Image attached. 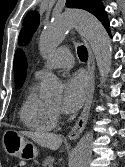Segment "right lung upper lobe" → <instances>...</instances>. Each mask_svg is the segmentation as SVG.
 I'll list each match as a JSON object with an SVG mask.
<instances>
[{
  "label": "right lung upper lobe",
  "mask_w": 125,
  "mask_h": 167,
  "mask_svg": "<svg viewBox=\"0 0 125 167\" xmlns=\"http://www.w3.org/2000/svg\"><path fill=\"white\" fill-rule=\"evenodd\" d=\"M27 61L22 51L17 50L14 57L15 86H22L26 77Z\"/></svg>",
  "instance_id": "obj_1"
}]
</instances>
